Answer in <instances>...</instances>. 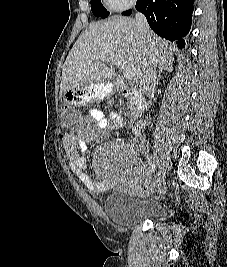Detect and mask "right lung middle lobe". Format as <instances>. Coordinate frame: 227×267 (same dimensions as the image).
I'll use <instances>...</instances> for the list:
<instances>
[{"instance_id":"1","label":"right lung middle lobe","mask_w":227,"mask_h":267,"mask_svg":"<svg viewBox=\"0 0 227 267\" xmlns=\"http://www.w3.org/2000/svg\"><path fill=\"white\" fill-rule=\"evenodd\" d=\"M91 10L96 17L106 18L109 15L100 0H91Z\"/></svg>"}]
</instances>
